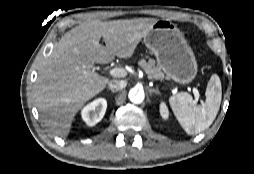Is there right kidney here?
I'll return each instance as SVG.
<instances>
[{
  "mask_svg": "<svg viewBox=\"0 0 254 174\" xmlns=\"http://www.w3.org/2000/svg\"><path fill=\"white\" fill-rule=\"evenodd\" d=\"M107 109V101L99 98L87 104L81 111L82 119L88 126H94L101 121Z\"/></svg>",
  "mask_w": 254,
  "mask_h": 174,
  "instance_id": "right-kidney-1",
  "label": "right kidney"
}]
</instances>
